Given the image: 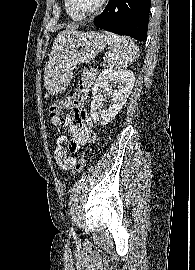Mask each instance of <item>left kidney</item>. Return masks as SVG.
<instances>
[{
  "mask_svg": "<svg viewBox=\"0 0 195 270\" xmlns=\"http://www.w3.org/2000/svg\"><path fill=\"white\" fill-rule=\"evenodd\" d=\"M117 83L118 90H113L110 83ZM135 76L130 70L104 69L98 76L92 89L91 117L98 126L111 122L127 101L134 86ZM112 98L107 110L103 109L105 96Z\"/></svg>",
  "mask_w": 195,
  "mask_h": 270,
  "instance_id": "obj_1",
  "label": "left kidney"
}]
</instances>
